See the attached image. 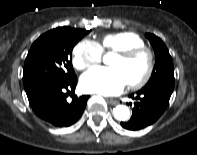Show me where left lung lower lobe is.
I'll return each mask as SVG.
<instances>
[{"label": "left lung lower lobe", "instance_id": "0a47b994", "mask_svg": "<svg viewBox=\"0 0 197 155\" xmlns=\"http://www.w3.org/2000/svg\"><path fill=\"white\" fill-rule=\"evenodd\" d=\"M171 94L161 90H143L137 96L131 95L137 101L134 103L132 117L128 122H121L128 130H140L153 124L164 112Z\"/></svg>", "mask_w": 197, "mask_h": 155}]
</instances>
